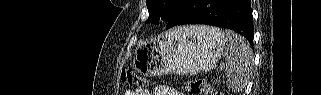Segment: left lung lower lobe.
Segmentation results:
<instances>
[{"label": "left lung lower lobe", "mask_w": 321, "mask_h": 95, "mask_svg": "<svg viewBox=\"0 0 321 95\" xmlns=\"http://www.w3.org/2000/svg\"><path fill=\"white\" fill-rule=\"evenodd\" d=\"M167 21V29L183 24L229 28L243 35L253 45L250 0H182Z\"/></svg>", "instance_id": "0a47b994"}]
</instances>
